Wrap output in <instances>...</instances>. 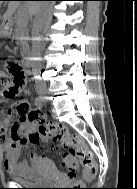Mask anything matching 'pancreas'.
<instances>
[{
  "label": "pancreas",
  "mask_w": 137,
  "mask_h": 189,
  "mask_svg": "<svg viewBox=\"0 0 137 189\" xmlns=\"http://www.w3.org/2000/svg\"><path fill=\"white\" fill-rule=\"evenodd\" d=\"M15 32H16L15 38L19 41L21 45H25L28 38V29H27L26 19L18 20Z\"/></svg>",
  "instance_id": "cf45deb5"
}]
</instances>
